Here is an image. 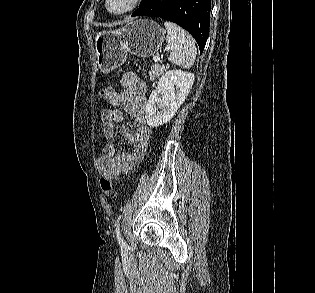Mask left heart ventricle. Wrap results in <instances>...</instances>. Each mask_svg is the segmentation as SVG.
I'll return each instance as SVG.
<instances>
[{
  "label": "left heart ventricle",
  "instance_id": "obj_1",
  "mask_svg": "<svg viewBox=\"0 0 315 293\" xmlns=\"http://www.w3.org/2000/svg\"><path fill=\"white\" fill-rule=\"evenodd\" d=\"M130 3V0H109L108 7L113 12H119L125 9Z\"/></svg>",
  "mask_w": 315,
  "mask_h": 293
}]
</instances>
